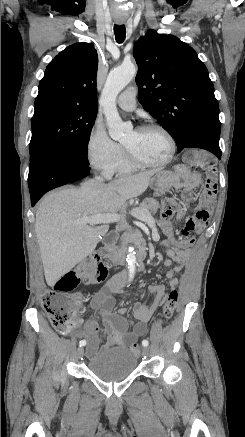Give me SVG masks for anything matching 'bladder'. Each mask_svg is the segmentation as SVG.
Returning a JSON list of instances; mask_svg holds the SVG:
<instances>
[{"label":"bladder","mask_w":245,"mask_h":437,"mask_svg":"<svg viewBox=\"0 0 245 437\" xmlns=\"http://www.w3.org/2000/svg\"><path fill=\"white\" fill-rule=\"evenodd\" d=\"M137 364V356L130 350L115 348L101 351L87 363V368L105 381H118L132 374Z\"/></svg>","instance_id":"1"}]
</instances>
